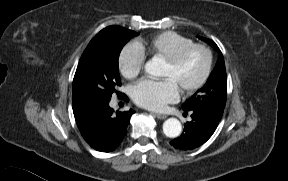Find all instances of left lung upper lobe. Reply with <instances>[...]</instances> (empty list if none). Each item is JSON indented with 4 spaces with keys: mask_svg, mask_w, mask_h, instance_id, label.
<instances>
[{
    "mask_svg": "<svg viewBox=\"0 0 288 181\" xmlns=\"http://www.w3.org/2000/svg\"><path fill=\"white\" fill-rule=\"evenodd\" d=\"M199 38L212 45L220 55L206 84L183 103L182 108L184 111L202 110L221 118L227 98V76L223 55L212 40Z\"/></svg>",
    "mask_w": 288,
    "mask_h": 181,
    "instance_id": "5c2ea615",
    "label": "left lung upper lobe"
}]
</instances>
